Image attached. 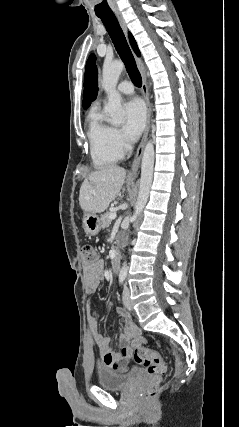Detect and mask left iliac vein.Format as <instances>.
<instances>
[{
	"label": "left iliac vein",
	"mask_w": 239,
	"mask_h": 427,
	"mask_svg": "<svg viewBox=\"0 0 239 427\" xmlns=\"http://www.w3.org/2000/svg\"><path fill=\"white\" fill-rule=\"evenodd\" d=\"M123 304L128 310H132V303L130 300V291L127 286L123 289V296H122Z\"/></svg>",
	"instance_id": "4c4485c4"
}]
</instances>
